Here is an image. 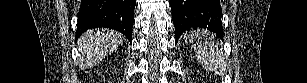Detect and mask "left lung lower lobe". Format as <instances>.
I'll list each match as a JSON object with an SVG mask.
<instances>
[{"mask_svg": "<svg viewBox=\"0 0 307 83\" xmlns=\"http://www.w3.org/2000/svg\"><path fill=\"white\" fill-rule=\"evenodd\" d=\"M175 36L190 29H207L220 39L223 38L222 10L219 0H169Z\"/></svg>", "mask_w": 307, "mask_h": 83, "instance_id": "left-lung-lower-lobe-1", "label": "left lung lower lobe"}]
</instances>
